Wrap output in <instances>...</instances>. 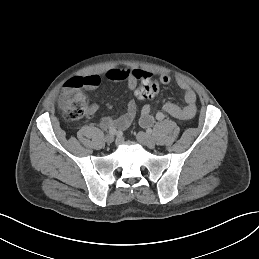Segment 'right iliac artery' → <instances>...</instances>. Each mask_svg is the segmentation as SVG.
<instances>
[{"instance_id":"obj_1","label":"right iliac artery","mask_w":259,"mask_h":259,"mask_svg":"<svg viewBox=\"0 0 259 259\" xmlns=\"http://www.w3.org/2000/svg\"><path fill=\"white\" fill-rule=\"evenodd\" d=\"M109 133L112 134V135H115L116 134V129L115 128H110L109 129Z\"/></svg>"}]
</instances>
